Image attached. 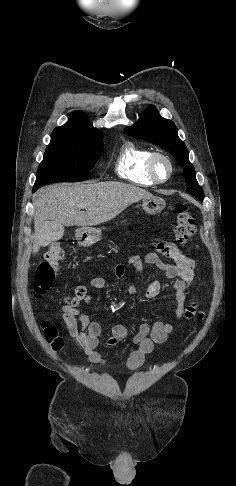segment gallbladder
<instances>
[{"label": "gallbladder", "mask_w": 236, "mask_h": 486, "mask_svg": "<svg viewBox=\"0 0 236 486\" xmlns=\"http://www.w3.org/2000/svg\"><path fill=\"white\" fill-rule=\"evenodd\" d=\"M64 233V227L62 224L57 222H49L45 228V235L47 240L44 242L43 246L48 245L51 242L58 241L62 238Z\"/></svg>", "instance_id": "obj_1"}]
</instances>
